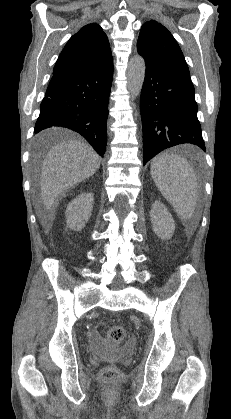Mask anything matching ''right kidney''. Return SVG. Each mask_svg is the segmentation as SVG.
Listing matches in <instances>:
<instances>
[{"instance_id":"1","label":"right kidney","mask_w":231,"mask_h":419,"mask_svg":"<svg viewBox=\"0 0 231 419\" xmlns=\"http://www.w3.org/2000/svg\"><path fill=\"white\" fill-rule=\"evenodd\" d=\"M93 202L92 193H81L73 199L65 211L67 227L75 231H81L91 217Z\"/></svg>"}]
</instances>
